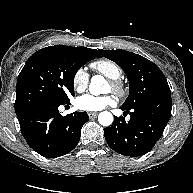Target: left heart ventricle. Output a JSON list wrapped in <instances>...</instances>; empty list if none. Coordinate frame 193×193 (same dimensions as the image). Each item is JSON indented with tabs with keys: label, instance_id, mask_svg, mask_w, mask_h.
I'll return each mask as SVG.
<instances>
[{
	"label": "left heart ventricle",
	"instance_id": "1",
	"mask_svg": "<svg viewBox=\"0 0 193 193\" xmlns=\"http://www.w3.org/2000/svg\"><path fill=\"white\" fill-rule=\"evenodd\" d=\"M107 90H108V91L110 90V85L107 86Z\"/></svg>",
	"mask_w": 193,
	"mask_h": 193
}]
</instances>
